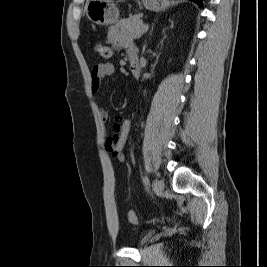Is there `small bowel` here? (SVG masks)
Instances as JSON below:
<instances>
[{"instance_id": "c3829d8e", "label": "small bowel", "mask_w": 267, "mask_h": 267, "mask_svg": "<svg viewBox=\"0 0 267 267\" xmlns=\"http://www.w3.org/2000/svg\"><path fill=\"white\" fill-rule=\"evenodd\" d=\"M107 39L115 47L127 49L129 58L134 56L138 57L132 43L121 35L116 26L110 28ZM114 71L115 67L111 63H100L94 66L91 71V91L94 95L99 93L102 79L111 76ZM99 114L102 121L107 122L109 120V113L105 109L100 108ZM130 128L131 121L129 119L122 116H115L113 123L114 135L105 141L106 150L117 156L120 161L124 159L122 151L128 140Z\"/></svg>"}]
</instances>
